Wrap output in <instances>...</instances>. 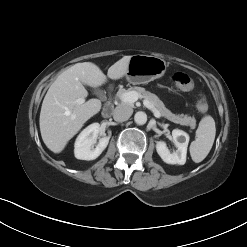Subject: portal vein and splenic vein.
Masks as SVG:
<instances>
[{
	"instance_id": "obj_1",
	"label": "portal vein and splenic vein",
	"mask_w": 247,
	"mask_h": 247,
	"mask_svg": "<svg viewBox=\"0 0 247 247\" xmlns=\"http://www.w3.org/2000/svg\"><path fill=\"white\" fill-rule=\"evenodd\" d=\"M139 99V94L135 91H130V92H125L122 94L121 96V100L125 103H134ZM85 102V99L83 98H79L76 100L77 104H83ZM144 105L151 109L152 112L154 113V116L157 118H160L161 114L159 113V111L157 109H155L153 107L152 104H150L148 101H144Z\"/></svg>"
}]
</instances>
